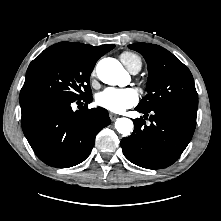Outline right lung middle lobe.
<instances>
[{"mask_svg": "<svg viewBox=\"0 0 221 221\" xmlns=\"http://www.w3.org/2000/svg\"><path fill=\"white\" fill-rule=\"evenodd\" d=\"M95 62L65 47H49L34 59L26 72L21 94L49 93L73 101L92 95L89 79Z\"/></svg>", "mask_w": 221, "mask_h": 221, "instance_id": "right-lung-middle-lobe-1", "label": "right lung middle lobe"}]
</instances>
